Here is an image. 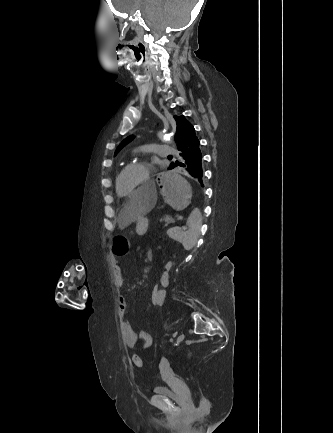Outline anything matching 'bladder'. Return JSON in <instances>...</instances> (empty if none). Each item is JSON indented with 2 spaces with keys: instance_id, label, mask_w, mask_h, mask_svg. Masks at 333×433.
<instances>
[{
  "instance_id": "1",
  "label": "bladder",
  "mask_w": 333,
  "mask_h": 433,
  "mask_svg": "<svg viewBox=\"0 0 333 433\" xmlns=\"http://www.w3.org/2000/svg\"><path fill=\"white\" fill-rule=\"evenodd\" d=\"M152 391L154 394L158 396L166 397L176 403L183 402L186 399L184 395L174 392L172 389H170L168 386L164 384L153 386Z\"/></svg>"
}]
</instances>
